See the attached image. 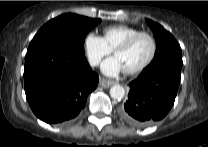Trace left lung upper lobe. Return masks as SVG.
Segmentation results:
<instances>
[{"label":"left lung upper lobe","instance_id":"5c2ea615","mask_svg":"<svg viewBox=\"0 0 208 147\" xmlns=\"http://www.w3.org/2000/svg\"><path fill=\"white\" fill-rule=\"evenodd\" d=\"M146 22L153 31L157 46L155 56L149 66L164 60L174 61L182 65V51L172 34L152 20L147 19Z\"/></svg>","mask_w":208,"mask_h":147}]
</instances>
